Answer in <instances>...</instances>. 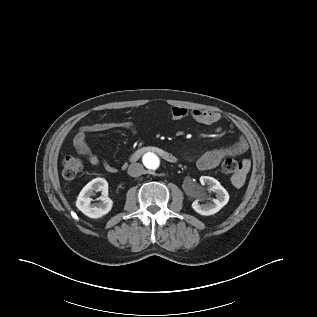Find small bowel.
<instances>
[{"label":"small bowel","instance_id":"small-bowel-1","mask_svg":"<svg viewBox=\"0 0 317 317\" xmlns=\"http://www.w3.org/2000/svg\"><path fill=\"white\" fill-rule=\"evenodd\" d=\"M170 115L174 120H180L186 117H191L196 122L203 125H213L221 120V115L218 112L201 109L188 110L180 106L171 107ZM111 126L126 129L131 133H135L136 131L134 123L128 120L105 124L96 123L85 125L82 126L77 132V134L74 136L73 146L77 153L83 156L92 166L96 167L99 166L101 163L107 172L114 173L116 172V168L112 166L109 162H107L105 159H100L96 153L92 152L87 142V134L99 133ZM247 150L248 144L246 140L242 136H240L234 144L228 147L217 148L205 152L197 159L196 165L200 170H210L218 166L219 163L225 157L233 155H242ZM242 166L243 168L241 173L234 176L232 179V182L236 187H239L244 183L245 175L250 167L249 161L244 160Z\"/></svg>","mask_w":317,"mask_h":317}]
</instances>
